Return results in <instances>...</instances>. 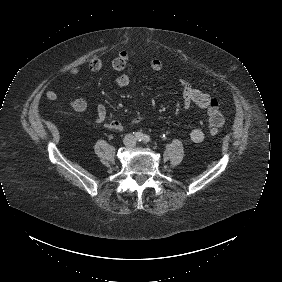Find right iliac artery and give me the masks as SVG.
<instances>
[{
    "instance_id": "right-iliac-artery-1",
    "label": "right iliac artery",
    "mask_w": 282,
    "mask_h": 282,
    "mask_svg": "<svg viewBox=\"0 0 282 282\" xmlns=\"http://www.w3.org/2000/svg\"><path fill=\"white\" fill-rule=\"evenodd\" d=\"M135 139L138 141H141L143 139V134H141L140 132H136Z\"/></svg>"
}]
</instances>
